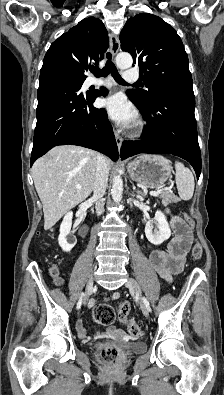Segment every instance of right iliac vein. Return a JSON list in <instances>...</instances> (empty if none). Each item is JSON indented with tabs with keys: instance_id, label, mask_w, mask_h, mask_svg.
Segmentation results:
<instances>
[{
	"instance_id": "1",
	"label": "right iliac vein",
	"mask_w": 224,
	"mask_h": 395,
	"mask_svg": "<svg viewBox=\"0 0 224 395\" xmlns=\"http://www.w3.org/2000/svg\"><path fill=\"white\" fill-rule=\"evenodd\" d=\"M94 288L93 278L90 277L87 286H86V293L84 295V304L88 301L90 294L92 293Z\"/></svg>"
}]
</instances>
